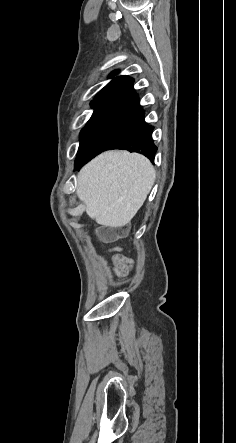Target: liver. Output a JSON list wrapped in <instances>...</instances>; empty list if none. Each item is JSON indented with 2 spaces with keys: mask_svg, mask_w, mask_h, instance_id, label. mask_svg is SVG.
Listing matches in <instances>:
<instances>
[{
  "mask_svg": "<svg viewBox=\"0 0 236 443\" xmlns=\"http://www.w3.org/2000/svg\"><path fill=\"white\" fill-rule=\"evenodd\" d=\"M156 172L141 154L108 151L78 173V198L98 224L122 227L130 222L149 194Z\"/></svg>",
  "mask_w": 236,
  "mask_h": 443,
  "instance_id": "1",
  "label": "liver"
}]
</instances>
